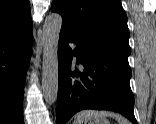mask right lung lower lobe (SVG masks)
I'll list each match as a JSON object with an SVG mask.
<instances>
[{"label":"right lung lower lobe","instance_id":"right-lung-lower-lobe-1","mask_svg":"<svg viewBox=\"0 0 156 124\" xmlns=\"http://www.w3.org/2000/svg\"><path fill=\"white\" fill-rule=\"evenodd\" d=\"M31 43V29L0 35V124H24L22 99Z\"/></svg>","mask_w":156,"mask_h":124}]
</instances>
